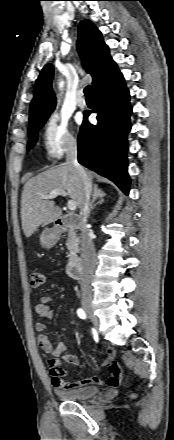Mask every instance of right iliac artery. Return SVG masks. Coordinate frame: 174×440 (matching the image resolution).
<instances>
[{
    "label": "right iliac artery",
    "mask_w": 174,
    "mask_h": 440,
    "mask_svg": "<svg viewBox=\"0 0 174 440\" xmlns=\"http://www.w3.org/2000/svg\"><path fill=\"white\" fill-rule=\"evenodd\" d=\"M77 314L81 319H86V313L82 309H78Z\"/></svg>",
    "instance_id": "obj_1"
}]
</instances>
